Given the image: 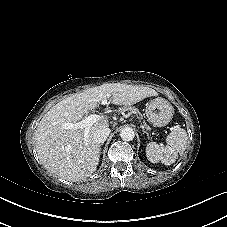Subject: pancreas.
<instances>
[{"instance_id": "1", "label": "pancreas", "mask_w": 227, "mask_h": 227, "mask_svg": "<svg viewBox=\"0 0 227 227\" xmlns=\"http://www.w3.org/2000/svg\"><path fill=\"white\" fill-rule=\"evenodd\" d=\"M119 111H130V112L136 114L138 118L142 119V114L135 107H132V106H123V107L119 108Z\"/></svg>"}]
</instances>
